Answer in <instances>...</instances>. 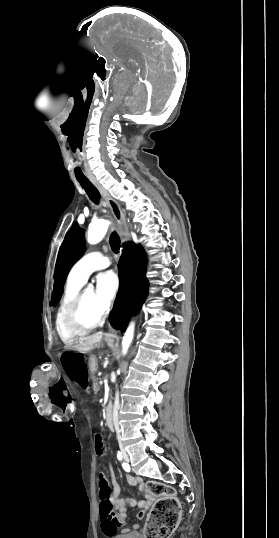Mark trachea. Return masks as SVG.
Returning <instances> with one entry per match:
<instances>
[{"mask_svg": "<svg viewBox=\"0 0 279 538\" xmlns=\"http://www.w3.org/2000/svg\"><path fill=\"white\" fill-rule=\"evenodd\" d=\"M82 188H84L85 192L89 196L90 200L96 205L99 204L100 200V194L97 190V188L92 185L91 182H89L88 178L86 177H76ZM109 244L112 248V251L114 253H118L120 250V238L116 232H112L109 238Z\"/></svg>", "mask_w": 279, "mask_h": 538, "instance_id": "3493384b", "label": "trachea"}]
</instances>
